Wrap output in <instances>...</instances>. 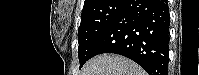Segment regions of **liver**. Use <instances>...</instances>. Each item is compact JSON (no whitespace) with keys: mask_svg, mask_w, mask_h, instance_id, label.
I'll return each instance as SVG.
<instances>
[{"mask_svg":"<svg viewBox=\"0 0 199 75\" xmlns=\"http://www.w3.org/2000/svg\"><path fill=\"white\" fill-rule=\"evenodd\" d=\"M81 75H146L132 60L115 54L98 55L90 59Z\"/></svg>","mask_w":199,"mask_h":75,"instance_id":"liver-1","label":"liver"}]
</instances>
